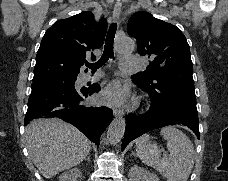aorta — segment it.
<instances>
[{
  "label": "aorta",
  "instance_id": "762f6f07",
  "mask_svg": "<svg viewBox=\"0 0 228 181\" xmlns=\"http://www.w3.org/2000/svg\"><path fill=\"white\" fill-rule=\"evenodd\" d=\"M135 48L134 42L130 38H121L116 43V50L120 53L132 52ZM125 118L114 119L107 131V139L111 145H115L121 141L125 132Z\"/></svg>",
  "mask_w": 228,
  "mask_h": 181
}]
</instances>
